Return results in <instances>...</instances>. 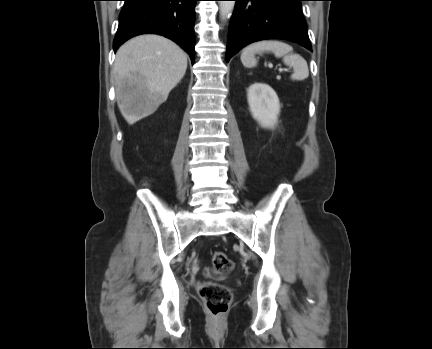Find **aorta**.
<instances>
[{"mask_svg":"<svg viewBox=\"0 0 432 349\" xmlns=\"http://www.w3.org/2000/svg\"><path fill=\"white\" fill-rule=\"evenodd\" d=\"M235 7V1H219L220 18L222 21L228 19Z\"/></svg>","mask_w":432,"mask_h":349,"instance_id":"aorta-1","label":"aorta"}]
</instances>
